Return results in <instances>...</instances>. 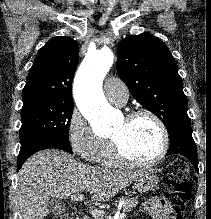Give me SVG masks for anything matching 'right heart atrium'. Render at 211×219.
Returning a JSON list of instances; mask_svg holds the SVG:
<instances>
[{"label": "right heart atrium", "instance_id": "1", "mask_svg": "<svg viewBox=\"0 0 211 219\" xmlns=\"http://www.w3.org/2000/svg\"><path fill=\"white\" fill-rule=\"evenodd\" d=\"M67 132L72 150L88 162H96L109 144L95 134L89 122L77 110L71 114Z\"/></svg>", "mask_w": 211, "mask_h": 219}]
</instances>
